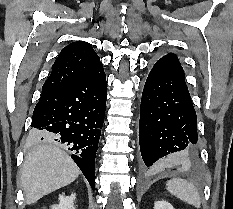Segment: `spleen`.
<instances>
[{
	"label": "spleen",
	"mask_w": 233,
	"mask_h": 209,
	"mask_svg": "<svg viewBox=\"0 0 233 209\" xmlns=\"http://www.w3.org/2000/svg\"><path fill=\"white\" fill-rule=\"evenodd\" d=\"M167 190L180 200L199 208L201 199L194 185L184 179L173 178L166 184Z\"/></svg>",
	"instance_id": "1"
}]
</instances>
